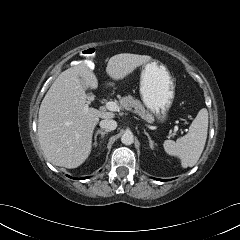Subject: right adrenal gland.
Instances as JSON below:
<instances>
[{
	"mask_svg": "<svg viewBox=\"0 0 240 240\" xmlns=\"http://www.w3.org/2000/svg\"><path fill=\"white\" fill-rule=\"evenodd\" d=\"M108 131H103V130H97L96 134H95V143L94 145L97 146V142H96V139H97V135L98 134H101V137L103 138L105 134H107Z\"/></svg>",
	"mask_w": 240,
	"mask_h": 240,
	"instance_id": "right-adrenal-gland-1",
	"label": "right adrenal gland"
}]
</instances>
